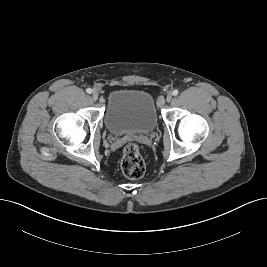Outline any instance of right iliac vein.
<instances>
[{
  "label": "right iliac vein",
  "mask_w": 267,
  "mask_h": 267,
  "mask_svg": "<svg viewBox=\"0 0 267 267\" xmlns=\"http://www.w3.org/2000/svg\"><path fill=\"white\" fill-rule=\"evenodd\" d=\"M92 98H93L94 100H97V99H98V93H97L96 91H93V93H92Z\"/></svg>",
  "instance_id": "1"
}]
</instances>
